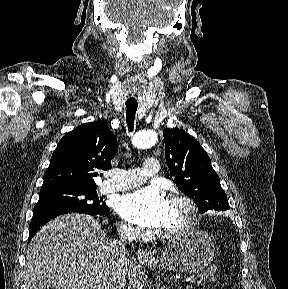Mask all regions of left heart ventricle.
<instances>
[{
  "label": "left heart ventricle",
  "instance_id": "left-heart-ventricle-1",
  "mask_svg": "<svg viewBox=\"0 0 288 289\" xmlns=\"http://www.w3.org/2000/svg\"><path fill=\"white\" fill-rule=\"evenodd\" d=\"M185 215V208L181 203L168 201V215L164 228L173 229L181 226L185 221Z\"/></svg>",
  "mask_w": 288,
  "mask_h": 289
}]
</instances>
